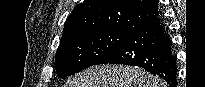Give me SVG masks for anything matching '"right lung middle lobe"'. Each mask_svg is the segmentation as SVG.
I'll list each match as a JSON object with an SVG mask.
<instances>
[{"instance_id":"right-lung-middle-lobe-1","label":"right lung middle lobe","mask_w":205,"mask_h":87,"mask_svg":"<svg viewBox=\"0 0 205 87\" xmlns=\"http://www.w3.org/2000/svg\"><path fill=\"white\" fill-rule=\"evenodd\" d=\"M133 32L115 29L88 31L61 41L55 57V69L65 78L82 71L112 52Z\"/></svg>"}]
</instances>
